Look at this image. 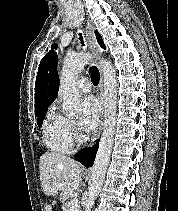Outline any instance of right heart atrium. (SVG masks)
Returning <instances> with one entry per match:
<instances>
[{"instance_id": "right-heart-atrium-1", "label": "right heart atrium", "mask_w": 178, "mask_h": 211, "mask_svg": "<svg viewBox=\"0 0 178 211\" xmlns=\"http://www.w3.org/2000/svg\"><path fill=\"white\" fill-rule=\"evenodd\" d=\"M65 131L68 136V138L74 142V141H80L82 140V136L80 135L78 128L74 121L70 119H66L65 123Z\"/></svg>"}]
</instances>
